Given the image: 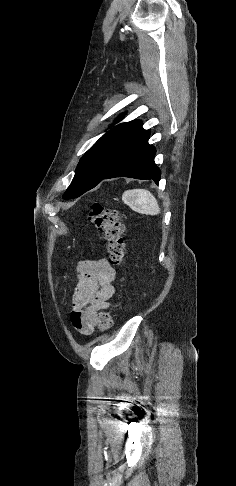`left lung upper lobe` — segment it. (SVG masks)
I'll return each instance as SVG.
<instances>
[{"label":"left lung upper lobe","instance_id":"left-lung-upper-lobe-1","mask_svg":"<svg viewBox=\"0 0 236 486\" xmlns=\"http://www.w3.org/2000/svg\"><path fill=\"white\" fill-rule=\"evenodd\" d=\"M145 131L139 120L118 124L107 131L81 158L63 198H76L99 184Z\"/></svg>","mask_w":236,"mask_h":486}]
</instances>
